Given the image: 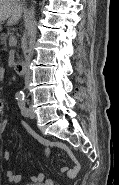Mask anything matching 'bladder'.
Wrapping results in <instances>:
<instances>
[{"label":"bladder","instance_id":"31cf9c89","mask_svg":"<svg viewBox=\"0 0 119 185\" xmlns=\"http://www.w3.org/2000/svg\"><path fill=\"white\" fill-rule=\"evenodd\" d=\"M26 185H38V184L31 183V184H26Z\"/></svg>","mask_w":119,"mask_h":185}]
</instances>
